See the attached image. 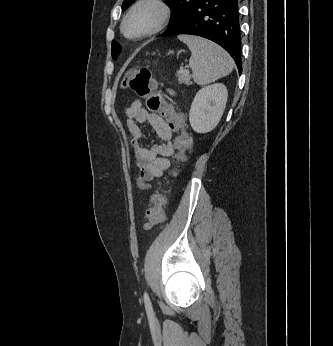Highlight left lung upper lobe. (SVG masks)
<instances>
[{"label":"left lung upper lobe","mask_w":333,"mask_h":346,"mask_svg":"<svg viewBox=\"0 0 333 346\" xmlns=\"http://www.w3.org/2000/svg\"><path fill=\"white\" fill-rule=\"evenodd\" d=\"M135 1L136 0H124L122 4V9L125 10L126 8H128L130 4H132ZM167 1L170 4L171 13H172L171 19H170V22H171L170 27H172L173 25L177 24L186 16L188 8L191 6V4L195 0H167ZM111 47H112V57L116 59L118 54L121 51V47L114 40L112 42Z\"/></svg>","instance_id":"left-lung-upper-lobe-1"}]
</instances>
